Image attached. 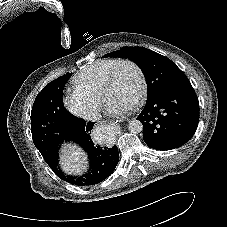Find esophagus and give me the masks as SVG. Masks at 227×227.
Returning a JSON list of instances; mask_svg holds the SVG:
<instances>
[{"label": "esophagus", "mask_w": 227, "mask_h": 227, "mask_svg": "<svg viewBox=\"0 0 227 227\" xmlns=\"http://www.w3.org/2000/svg\"><path fill=\"white\" fill-rule=\"evenodd\" d=\"M110 125L115 126L117 129L120 128L119 124H116L115 122H111Z\"/></svg>", "instance_id": "obj_1"}]
</instances>
